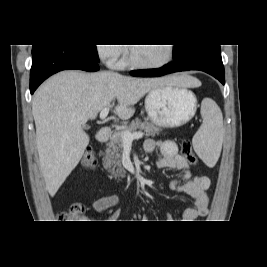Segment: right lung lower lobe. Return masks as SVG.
Listing matches in <instances>:
<instances>
[{"mask_svg":"<svg viewBox=\"0 0 267 267\" xmlns=\"http://www.w3.org/2000/svg\"><path fill=\"white\" fill-rule=\"evenodd\" d=\"M68 69L89 72L98 71V61L73 45L42 44L32 47V67L30 71V93L49 76Z\"/></svg>","mask_w":267,"mask_h":267,"instance_id":"1","label":"right lung lower lobe"}]
</instances>
